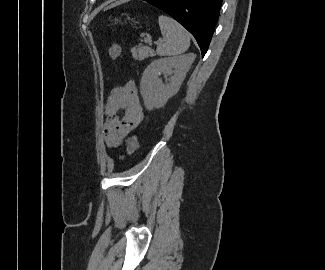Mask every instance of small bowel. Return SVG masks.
I'll list each match as a JSON object with an SVG mask.
<instances>
[{
  "label": "small bowel",
  "mask_w": 325,
  "mask_h": 270,
  "mask_svg": "<svg viewBox=\"0 0 325 270\" xmlns=\"http://www.w3.org/2000/svg\"><path fill=\"white\" fill-rule=\"evenodd\" d=\"M120 47V46H119ZM122 111V117L118 113ZM104 140L108 147L119 146L144 119V113L133 80L112 89L105 109Z\"/></svg>",
  "instance_id": "obj_1"
}]
</instances>
